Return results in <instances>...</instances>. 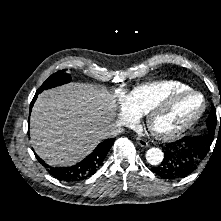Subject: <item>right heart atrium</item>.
I'll return each mask as SVG.
<instances>
[{
	"mask_svg": "<svg viewBox=\"0 0 221 221\" xmlns=\"http://www.w3.org/2000/svg\"><path fill=\"white\" fill-rule=\"evenodd\" d=\"M119 103H120V111L116 117V123L119 126H133L137 122L139 116L134 114L128 108L126 104V98L124 95H121L119 97Z\"/></svg>",
	"mask_w": 221,
	"mask_h": 221,
	"instance_id": "1",
	"label": "right heart atrium"
}]
</instances>
